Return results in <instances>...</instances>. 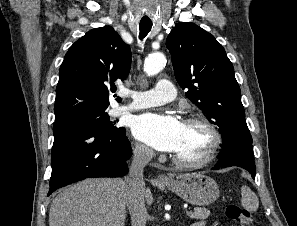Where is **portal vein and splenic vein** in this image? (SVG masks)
Instances as JSON below:
<instances>
[{"label":"portal vein and splenic vein","instance_id":"portal-vein-and-splenic-vein-1","mask_svg":"<svg viewBox=\"0 0 297 226\" xmlns=\"http://www.w3.org/2000/svg\"><path fill=\"white\" fill-rule=\"evenodd\" d=\"M191 213H192L191 211H186V215H187V216H190Z\"/></svg>","mask_w":297,"mask_h":226}]
</instances>
